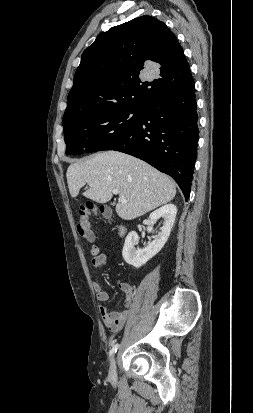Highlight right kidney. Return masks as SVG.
Returning a JSON list of instances; mask_svg holds the SVG:
<instances>
[{
    "label": "right kidney",
    "mask_w": 253,
    "mask_h": 413,
    "mask_svg": "<svg viewBox=\"0 0 253 413\" xmlns=\"http://www.w3.org/2000/svg\"><path fill=\"white\" fill-rule=\"evenodd\" d=\"M176 214L177 208L174 204H166L150 214V222L147 228L148 232L152 231L153 225L158 219L164 218V222L161 232L155 240L150 242L144 249L135 248L138 244L139 237L135 231H131L125 239L122 251V255L126 263L134 266L135 268H139L154 257L167 242L176 218Z\"/></svg>",
    "instance_id": "obj_1"
}]
</instances>
